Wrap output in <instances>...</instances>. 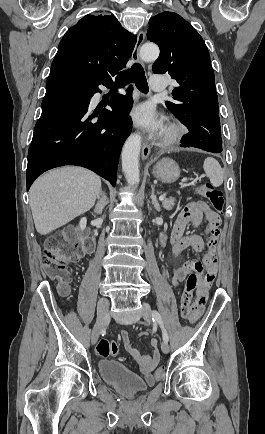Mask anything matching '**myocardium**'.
<instances>
[{"label":"myocardium","mask_w":265,"mask_h":434,"mask_svg":"<svg viewBox=\"0 0 265 434\" xmlns=\"http://www.w3.org/2000/svg\"><path fill=\"white\" fill-rule=\"evenodd\" d=\"M181 135V127L176 124H170L164 129L162 138L160 140V145L163 147L172 146L179 141Z\"/></svg>","instance_id":"obj_1"}]
</instances>
